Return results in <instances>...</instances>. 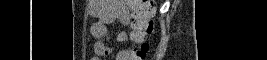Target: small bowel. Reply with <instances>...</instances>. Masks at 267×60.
Listing matches in <instances>:
<instances>
[{
  "instance_id": "small-bowel-1",
  "label": "small bowel",
  "mask_w": 267,
  "mask_h": 60,
  "mask_svg": "<svg viewBox=\"0 0 267 60\" xmlns=\"http://www.w3.org/2000/svg\"><path fill=\"white\" fill-rule=\"evenodd\" d=\"M89 12L91 16L97 17L99 20L92 24L90 32L95 39L94 51L96 56L93 60L100 57L109 56L114 49L107 44L109 39L108 25L118 23L123 26L132 28L130 39L134 43H138V33L134 29L132 15L124 0H91L89 2ZM129 40V35L125 31H121L116 36L119 44H124ZM117 60H133V47L123 49L116 55Z\"/></svg>"
}]
</instances>
